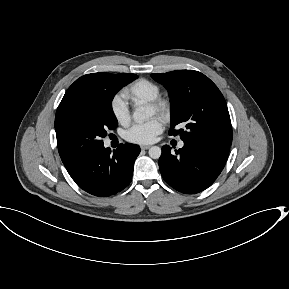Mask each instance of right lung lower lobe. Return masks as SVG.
I'll list each match as a JSON object with an SVG mask.
<instances>
[{
  "label": "right lung lower lobe",
  "instance_id": "right-lung-lower-lobe-1",
  "mask_svg": "<svg viewBox=\"0 0 289 289\" xmlns=\"http://www.w3.org/2000/svg\"><path fill=\"white\" fill-rule=\"evenodd\" d=\"M139 153V146L134 144H120L113 154L110 148L101 145L65 167L81 189L94 196L107 197L130 184Z\"/></svg>",
  "mask_w": 289,
  "mask_h": 289
}]
</instances>
